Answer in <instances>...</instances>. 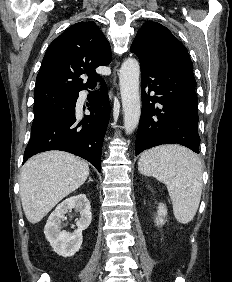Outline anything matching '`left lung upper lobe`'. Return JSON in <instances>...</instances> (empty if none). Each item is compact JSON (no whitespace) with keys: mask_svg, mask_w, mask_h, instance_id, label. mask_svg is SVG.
<instances>
[{"mask_svg":"<svg viewBox=\"0 0 232 282\" xmlns=\"http://www.w3.org/2000/svg\"><path fill=\"white\" fill-rule=\"evenodd\" d=\"M140 65L149 67L183 66L193 70L187 49L160 23L149 21L139 29L132 45Z\"/></svg>","mask_w":232,"mask_h":282,"instance_id":"1","label":"left lung upper lobe"}]
</instances>
